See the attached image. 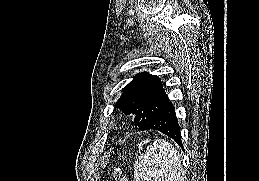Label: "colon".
<instances>
[{
    "label": "colon",
    "mask_w": 259,
    "mask_h": 181,
    "mask_svg": "<svg viewBox=\"0 0 259 181\" xmlns=\"http://www.w3.org/2000/svg\"><path fill=\"white\" fill-rule=\"evenodd\" d=\"M113 176L116 181H128V178L123 174V172L119 168L114 171Z\"/></svg>",
    "instance_id": "5ec220e1"
}]
</instances>
